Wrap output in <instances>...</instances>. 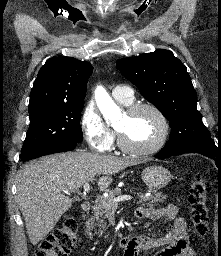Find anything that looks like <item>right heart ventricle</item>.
<instances>
[{
	"label": "right heart ventricle",
	"mask_w": 221,
	"mask_h": 256,
	"mask_svg": "<svg viewBox=\"0 0 221 256\" xmlns=\"http://www.w3.org/2000/svg\"><path fill=\"white\" fill-rule=\"evenodd\" d=\"M119 101V100H118ZM120 103H122V104H124V105H130V104H132V102H130V103H126V102H122V101H119Z\"/></svg>",
	"instance_id": "1"
}]
</instances>
